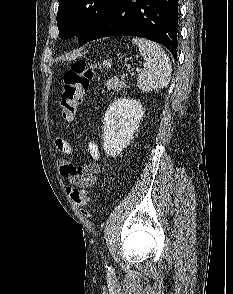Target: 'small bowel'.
<instances>
[{
    "instance_id": "obj_1",
    "label": "small bowel",
    "mask_w": 233,
    "mask_h": 294,
    "mask_svg": "<svg viewBox=\"0 0 233 294\" xmlns=\"http://www.w3.org/2000/svg\"><path fill=\"white\" fill-rule=\"evenodd\" d=\"M56 146L65 153L71 152V146L65 140L57 139ZM87 148L90 156L97 161L99 159V150L96 143L90 141ZM59 165L60 173L75 186L87 188L96 183V176L99 173V166L96 163L75 165L69 160L61 159Z\"/></svg>"
}]
</instances>
